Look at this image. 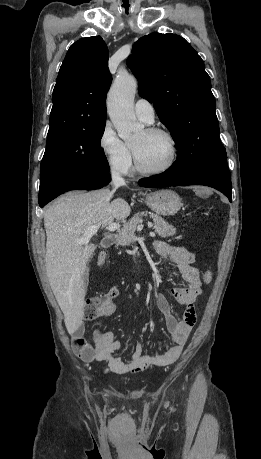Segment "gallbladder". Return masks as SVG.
Wrapping results in <instances>:
<instances>
[{
  "label": "gallbladder",
  "instance_id": "bac80fb5",
  "mask_svg": "<svg viewBox=\"0 0 261 459\" xmlns=\"http://www.w3.org/2000/svg\"><path fill=\"white\" fill-rule=\"evenodd\" d=\"M83 281L85 283V285L87 284L88 282V270H86L83 274Z\"/></svg>",
  "mask_w": 261,
  "mask_h": 459
}]
</instances>
